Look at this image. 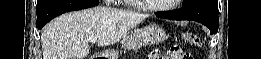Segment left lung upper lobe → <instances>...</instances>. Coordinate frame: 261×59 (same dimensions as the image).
<instances>
[{
  "label": "left lung upper lobe",
  "mask_w": 261,
  "mask_h": 59,
  "mask_svg": "<svg viewBox=\"0 0 261 59\" xmlns=\"http://www.w3.org/2000/svg\"><path fill=\"white\" fill-rule=\"evenodd\" d=\"M211 6L218 8V1L217 0H184L183 1V8L190 7V6Z\"/></svg>",
  "instance_id": "1"
}]
</instances>
